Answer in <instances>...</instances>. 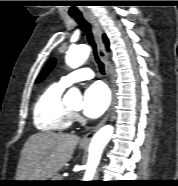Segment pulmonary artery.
<instances>
[{
  "label": "pulmonary artery",
  "mask_w": 178,
  "mask_h": 186,
  "mask_svg": "<svg viewBox=\"0 0 178 186\" xmlns=\"http://www.w3.org/2000/svg\"><path fill=\"white\" fill-rule=\"evenodd\" d=\"M94 77V73L90 68L83 67L80 68L64 77L61 78L60 84L64 87H68L71 84L81 81V80H88Z\"/></svg>",
  "instance_id": "obj_1"
}]
</instances>
